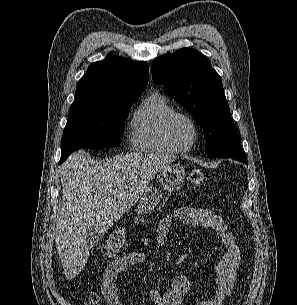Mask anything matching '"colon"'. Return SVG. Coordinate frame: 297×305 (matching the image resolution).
Wrapping results in <instances>:
<instances>
[{
	"mask_svg": "<svg viewBox=\"0 0 297 305\" xmlns=\"http://www.w3.org/2000/svg\"><path fill=\"white\" fill-rule=\"evenodd\" d=\"M190 182L195 186H201L206 182V174L202 169H194L189 175ZM127 247L126 232L122 228L112 230L105 242L103 253L107 261L118 260L123 257Z\"/></svg>",
	"mask_w": 297,
	"mask_h": 305,
	"instance_id": "colon-1",
	"label": "colon"
}]
</instances>
